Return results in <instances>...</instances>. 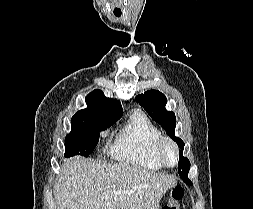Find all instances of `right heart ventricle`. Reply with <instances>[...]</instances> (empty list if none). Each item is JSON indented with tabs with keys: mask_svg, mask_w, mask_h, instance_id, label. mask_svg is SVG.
Instances as JSON below:
<instances>
[{
	"mask_svg": "<svg viewBox=\"0 0 253 209\" xmlns=\"http://www.w3.org/2000/svg\"><path fill=\"white\" fill-rule=\"evenodd\" d=\"M162 136L159 128L142 111H134L119 131L111 155L126 164L160 170L164 166L155 156L154 147Z\"/></svg>",
	"mask_w": 253,
	"mask_h": 209,
	"instance_id": "obj_1",
	"label": "right heart ventricle"
}]
</instances>
